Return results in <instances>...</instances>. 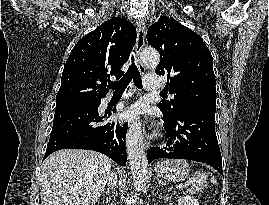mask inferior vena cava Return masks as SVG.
Returning <instances> with one entry per match:
<instances>
[{"instance_id":"602c4592","label":"inferior vena cava","mask_w":269,"mask_h":205,"mask_svg":"<svg viewBox=\"0 0 269 205\" xmlns=\"http://www.w3.org/2000/svg\"><path fill=\"white\" fill-rule=\"evenodd\" d=\"M108 181H109V188L108 189H110V188L114 189L116 186V182H117V176L115 175V173L112 172L110 174Z\"/></svg>"}]
</instances>
